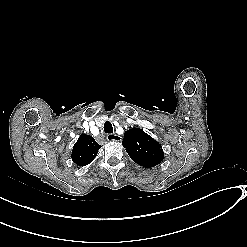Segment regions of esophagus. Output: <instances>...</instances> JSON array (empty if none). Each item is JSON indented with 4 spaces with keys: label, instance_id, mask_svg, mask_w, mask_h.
<instances>
[{
    "label": "esophagus",
    "instance_id": "1",
    "mask_svg": "<svg viewBox=\"0 0 247 247\" xmlns=\"http://www.w3.org/2000/svg\"><path fill=\"white\" fill-rule=\"evenodd\" d=\"M107 140L119 142V141H122V137L117 134H109L107 135Z\"/></svg>",
    "mask_w": 247,
    "mask_h": 247
}]
</instances>
